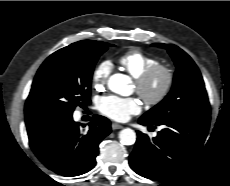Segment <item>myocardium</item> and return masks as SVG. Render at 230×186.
<instances>
[{"label": "myocardium", "instance_id": "1", "mask_svg": "<svg viewBox=\"0 0 230 186\" xmlns=\"http://www.w3.org/2000/svg\"><path fill=\"white\" fill-rule=\"evenodd\" d=\"M157 76L163 77V84L156 94H152L149 87ZM174 79L175 74L171 67L165 64H156L136 78V91L148 105L155 106L169 95L174 84Z\"/></svg>", "mask_w": 230, "mask_h": 186}]
</instances>
